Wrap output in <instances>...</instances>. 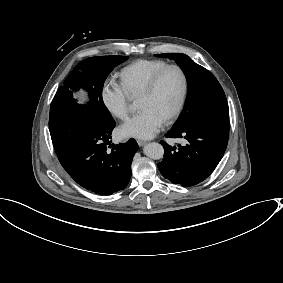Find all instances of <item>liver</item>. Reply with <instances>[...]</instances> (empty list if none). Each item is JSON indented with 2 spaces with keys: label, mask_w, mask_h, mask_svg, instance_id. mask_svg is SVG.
I'll list each match as a JSON object with an SVG mask.
<instances>
[{
  "label": "liver",
  "mask_w": 283,
  "mask_h": 283,
  "mask_svg": "<svg viewBox=\"0 0 283 283\" xmlns=\"http://www.w3.org/2000/svg\"><path fill=\"white\" fill-rule=\"evenodd\" d=\"M77 98L79 99L80 103H84L87 100V96L85 92L81 91L78 95Z\"/></svg>",
  "instance_id": "liver-1"
}]
</instances>
